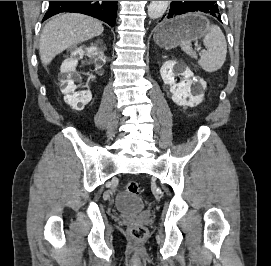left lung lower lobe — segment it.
<instances>
[{"instance_id":"left-lung-lower-lobe-1","label":"left lung lower lobe","mask_w":271,"mask_h":266,"mask_svg":"<svg viewBox=\"0 0 271 266\" xmlns=\"http://www.w3.org/2000/svg\"><path fill=\"white\" fill-rule=\"evenodd\" d=\"M195 11L208 13L221 22L217 1H171L170 9L162 17V20Z\"/></svg>"}]
</instances>
